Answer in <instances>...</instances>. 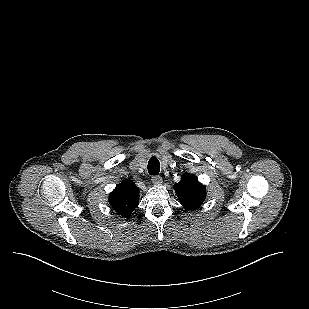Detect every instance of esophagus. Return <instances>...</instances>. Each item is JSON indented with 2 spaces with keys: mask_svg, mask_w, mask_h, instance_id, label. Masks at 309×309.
Returning a JSON list of instances; mask_svg holds the SVG:
<instances>
[{
  "mask_svg": "<svg viewBox=\"0 0 309 309\" xmlns=\"http://www.w3.org/2000/svg\"><path fill=\"white\" fill-rule=\"evenodd\" d=\"M152 183L155 185H161L162 184V177L159 175H153L152 178Z\"/></svg>",
  "mask_w": 309,
  "mask_h": 309,
  "instance_id": "34e87169",
  "label": "esophagus"
}]
</instances>
